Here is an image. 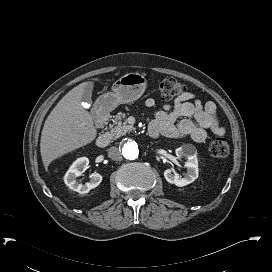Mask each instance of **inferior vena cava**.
<instances>
[{"instance_id": "obj_1", "label": "inferior vena cava", "mask_w": 272, "mask_h": 272, "mask_svg": "<svg viewBox=\"0 0 272 272\" xmlns=\"http://www.w3.org/2000/svg\"><path fill=\"white\" fill-rule=\"evenodd\" d=\"M108 156L112 160H116V161L121 160L122 158L120 149L115 146L109 148Z\"/></svg>"}]
</instances>
